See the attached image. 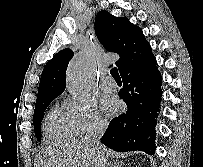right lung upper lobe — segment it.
<instances>
[{"mask_svg":"<svg viewBox=\"0 0 203 167\" xmlns=\"http://www.w3.org/2000/svg\"><path fill=\"white\" fill-rule=\"evenodd\" d=\"M95 32L108 51L119 54L120 59L116 62V66L121 75L153 57L152 49L145 41L142 29L125 17H115L102 10L95 19ZM73 55V51L66 48L47 62L41 75L36 103L57 97L65 90L66 70Z\"/></svg>","mask_w":203,"mask_h":167,"instance_id":"1","label":"right lung upper lobe"}]
</instances>
